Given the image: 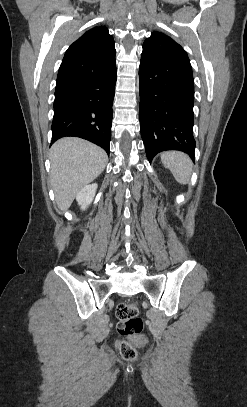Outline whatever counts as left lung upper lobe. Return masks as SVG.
I'll use <instances>...</instances> for the list:
<instances>
[{
  "label": "left lung upper lobe",
  "mask_w": 247,
  "mask_h": 407,
  "mask_svg": "<svg viewBox=\"0 0 247 407\" xmlns=\"http://www.w3.org/2000/svg\"><path fill=\"white\" fill-rule=\"evenodd\" d=\"M142 54L164 64L192 70L185 50L172 38L158 31L152 32L151 36L144 41Z\"/></svg>",
  "instance_id": "1"
}]
</instances>
